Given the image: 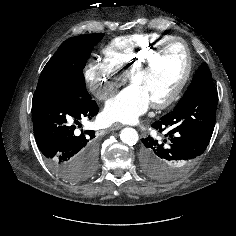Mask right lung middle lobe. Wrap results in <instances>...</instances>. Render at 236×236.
Here are the masks:
<instances>
[{
	"label": "right lung middle lobe",
	"mask_w": 236,
	"mask_h": 236,
	"mask_svg": "<svg viewBox=\"0 0 236 236\" xmlns=\"http://www.w3.org/2000/svg\"><path fill=\"white\" fill-rule=\"evenodd\" d=\"M103 33L86 34L67 39L42 70L35 92H57L91 98L86 90L83 69L92 48L103 38ZM97 159L77 168L71 181L88 178L96 169Z\"/></svg>",
	"instance_id": "right-lung-middle-lobe-1"
}]
</instances>
